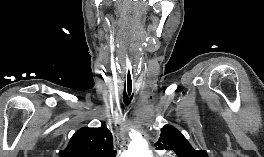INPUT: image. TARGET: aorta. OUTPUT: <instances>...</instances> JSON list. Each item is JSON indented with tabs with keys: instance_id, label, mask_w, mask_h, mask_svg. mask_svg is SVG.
I'll use <instances>...</instances> for the list:
<instances>
[{
	"instance_id": "aorta-1",
	"label": "aorta",
	"mask_w": 264,
	"mask_h": 157,
	"mask_svg": "<svg viewBox=\"0 0 264 157\" xmlns=\"http://www.w3.org/2000/svg\"><path fill=\"white\" fill-rule=\"evenodd\" d=\"M126 157H151L146 140L141 136L134 138L126 152Z\"/></svg>"
}]
</instances>
